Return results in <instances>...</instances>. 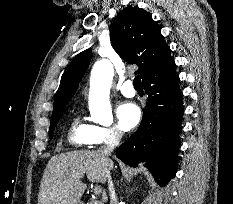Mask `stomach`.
<instances>
[{
	"label": "stomach",
	"instance_id": "obj_1",
	"mask_svg": "<svg viewBox=\"0 0 233 204\" xmlns=\"http://www.w3.org/2000/svg\"><path fill=\"white\" fill-rule=\"evenodd\" d=\"M76 204H81L80 202H77Z\"/></svg>",
	"mask_w": 233,
	"mask_h": 204
}]
</instances>
